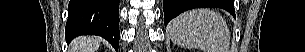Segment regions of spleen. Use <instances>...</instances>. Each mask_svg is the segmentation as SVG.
<instances>
[{"label":"spleen","instance_id":"3e777b00","mask_svg":"<svg viewBox=\"0 0 305 52\" xmlns=\"http://www.w3.org/2000/svg\"><path fill=\"white\" fill-rule=\"evenodd\" d=\"M170 39L181 47L204 52H227L230 32L225 19L207 8L193 9L174 18L169 26Z\"/></svg>","mask_w":305,"mask_h":52}]
</instances>
